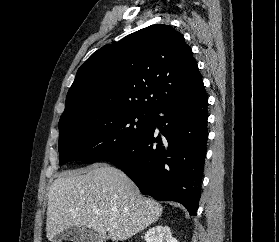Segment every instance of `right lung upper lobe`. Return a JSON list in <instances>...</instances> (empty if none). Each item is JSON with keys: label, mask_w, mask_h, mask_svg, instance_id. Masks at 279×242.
Segmentation results:
<instances>
[{"label": "right lung upper lobe", "mask_w": 279, "mask_h": 242, "mask_svg": "<svg viewBox=\"0 0 279 242\" xmlns=\"http://www.w3.org/2000/svg\"><path fill=\"white\" fill-rule=\"evenodd\" d=\"M204 87L181 33L155 24L94 52L78 69L59 125L126 110L153 113Z\"/></svg>", "instance_id": "1"}]
</instances>
